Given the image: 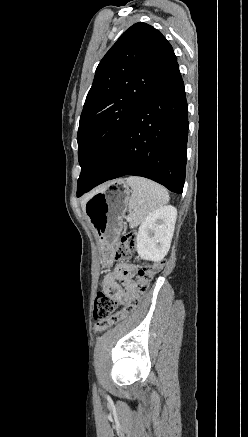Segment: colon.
<instances>
[{
    "label": "colon",
    "mask_w": 248,
    "mask_h": 437,
    "mask_svg": "<svg viewBox=\"0 0 248 437\" xmlns=\"http://www.w3.org/2000/svg\"><path fill=\"white\" fill-rule=\"evenodd\" d=\"M136 238L133 233L123 235L114 249V260H127L134 248ZM164 267V261L148 263L141 267L138 272L136 291L131 299L120 310L116 311V302L106 292L99 291L94 302V318L96 330L105 331L108 328L124 320L140 303L147 292L155 275Z\"/></svg>",
    "instance_id": "5ec220e1"
}]
</instances>
